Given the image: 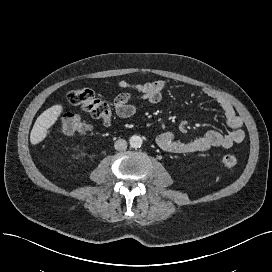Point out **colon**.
I'll return each mask as SVG.
<instances>
[{"instance_id":"obj_1","label":"colon","mask_w":272,"mask_h":272,"mask_svg":"<svg viewBox=\"0 0 272 272\" xmlns=\"http://www.w3.org/2000/svg\"><path fill=\"white\" fill-rule=\"evenodd\" d=\"M67 100L70 104L81 107L93 118L101 120L104 125H110L112 120L110 105L98 98L90 89L72 90L68 93ZM59 123L61 132L66 135L78 134L90 129V126L77 114L63 115ZM222 163L227 168H234L237 166L238 160L235 155L226 154L222 158Z\"/></svg>"}]
</instances>
